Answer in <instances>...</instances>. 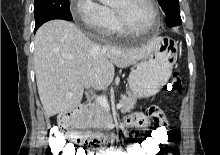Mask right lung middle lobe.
I'll use <instances>...</instances> for the list:
<instances>
[{
  "label": "right lung middle lobe",
  "mask_w": 220,
  "mask_h": 155,
  "mask_svg": "<svg viewBox=\"0 0 220 155\" xmlns=\"http://www.w3.org/2000/svg\"><path fill=\"white\" fill-rule=\"evenodd\" d=\"M34 16L36 25L43 24L46 21L56 18H70L69 0H35Z\"/></svg>",
  "instance_id": "right-lung-middle-lobe-1"
}]
</instances>
